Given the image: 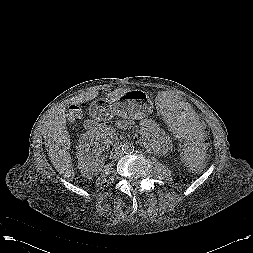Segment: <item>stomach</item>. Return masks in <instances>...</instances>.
I'll use <instances>...</instances> for the list:
<instances>
[{
    "mask_svg": "<svg viewBox=\"0 0 253 253\" xmlns=\"http://www.w3.org/2000/svg\"><path fill=\"white\" fill-rule=\"evenodd\" d=\"M154 103L142 90H129L115 99H100L94 102L105 117L116 114L128 119H143L153 112Z\"/></svg>",
    "mask_w": 253,
    "mask_h": 253,
    "instance_id": "1",
    "label": "stomach"
}]
</instances>
